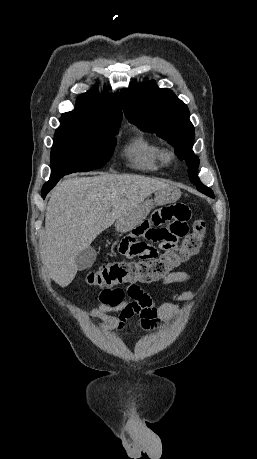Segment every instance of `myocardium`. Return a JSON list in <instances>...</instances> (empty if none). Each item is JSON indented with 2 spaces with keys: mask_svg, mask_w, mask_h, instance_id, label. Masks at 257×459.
<instances>
[{
  "mask_svg": "<svg viewBox=\"0 0 257 459\" xmlns=\"http://www.w3.org/2000/svg\"><path fill=\"white\" fill-rule=\"evenodd\" d=\"M164 157H165L166 161H170V160L173 159L174 154H173L172 151L164 150Z\"/></svg>",
  "mask_w": 257,
  "mask_h": 459,
  "instance_id": "f54148a6",
  "label": "myocardium"
}]
</instances>
